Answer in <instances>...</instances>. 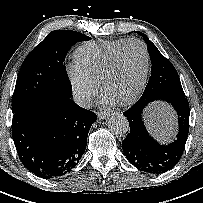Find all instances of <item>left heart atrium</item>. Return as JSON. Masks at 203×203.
<instances>
[{
  "label": "left heart atrium",
  "instance_id": "left-heart-atrium-1",
  "mask_svg": "<svg viewBox=\"0 0 203 203\" xmlns=\"http://www.w3.org/2000/svg\"><path fill=\"white\" fill-rule=\"evenodd\" d=\"M101 103H102L103 105H111V104L114 103V100L111 99L109 96L104 95V96L102 97Z\"/></svg>",
  "mask_w": 203,
  "mask_h": 203
}]
</instances>
